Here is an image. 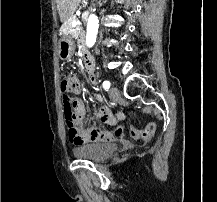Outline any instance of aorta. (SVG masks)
<instances>
[{
	"label": "aorta",
	"instance_id": "aorta-1",
	"mask_svg": "<svg viewBox=\"0 0 217 202\" xmlns=\"http://www.w3.org/2000/svg\"><path fill=\"white\" fill-rule=\"evenodd\" d=\"M99 28V20L95 14H90L87 22L86 46L92 48L96 42Z\"/></svg>",
	"mask_w": 217,
	"mask_h": 202
}]
</instances>
